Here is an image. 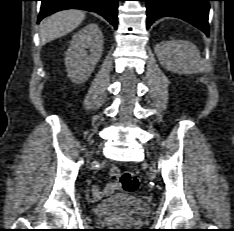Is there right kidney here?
Wrapping results in <instances>:
<instances>
[{"label":"right kidney","mask_w":234,"mask_h":231,"mask_svg":"<svg viewBox=\"0 0 234 231\" xmlns=\"http://www.w3.org/2000/svg\"><path fill=\"white\" fill-rule=\"evenodd\" d=\"M103 35L92 23L76 33L65 53L67 75L72 82H85L93 72L103 51Z\"/></svg>","instance_id":"1"}]
</instances>
